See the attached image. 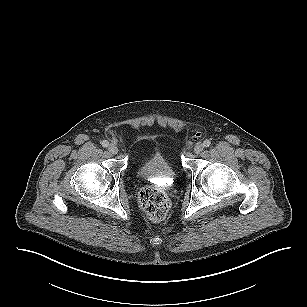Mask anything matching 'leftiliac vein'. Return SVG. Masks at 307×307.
Wrapping results in <instances>:
<instances>
[{
  "mask_svg": "<svg viewBox=\"0 0 307 307\" xmlns=\"http://www.w3.org/2000/svg\"><path fill=\"white\" fill-rule=\"evenodd\" d=\"M204 149V145L201 142L196 143V145L194 146V153L195 154H200Z\"/></svg>",
  "mask_w": 307,
  "mask_h": 307,
  "instance_id": "4c4485c4",
  "label": "left iliac vein"
}]
</instances>
